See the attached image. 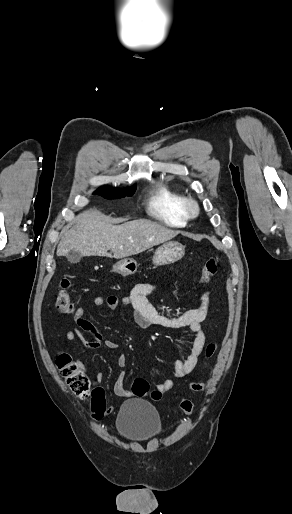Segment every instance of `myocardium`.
I'll return each mask as SVG.
<instances>
[{
  "mask_svg": "<svg viewBox=\"0 0 292 514\" xmlns=\"http://www.w3.org/2000/svg\"><path fill=\"white\" fill-rule=\"evenodd\" d=\"M182 208L187 217H195L198 214V203L191 197L183 199Z\"/></svg>",
  "mask_w": 292,
  "mask_h": 514,
  "instance_id": "obj_1",
  "label": "myocardium"
}]
</instances>
